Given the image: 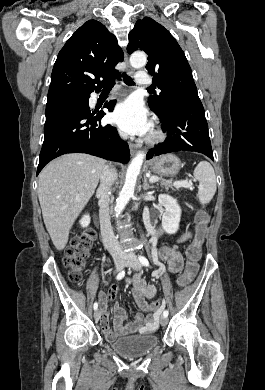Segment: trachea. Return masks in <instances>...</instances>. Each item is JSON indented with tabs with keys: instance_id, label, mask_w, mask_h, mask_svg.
<instances>
[{
	"instance_id": "trachea-1",
	"label": "trachea",
	"mask_w": 265,
	"mask_h": 390,
	"mask_svg": "<svg viewBox=\"0 0 265 390\" xmlns=\"http://www.w3.org/2000/svg\"><path fill=\"white\" fill-rule=\"evenodd\" d=\"M123 79H124L125 84H127L129 86L135 85L134 81L132 80V78L130 76L123 74ZM114 84H115L114 80H109L106 84V87H113Z\"/></svg>"
}]
</instances>
